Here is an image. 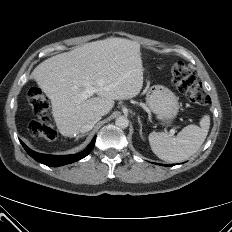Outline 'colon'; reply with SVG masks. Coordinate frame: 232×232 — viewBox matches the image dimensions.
<instances>
[{
    "label": "colon",
    "mask_w": 232,
    "mask_h": 232,
    "mask_svg": "<svg viewBox=\"0 0 232 232\" xmlns=\"http://www.w3.org/2000/svg\"><path fill=\"white\" fill-rule=\"evenodd\" d=\"M172 83L178 91L185 94L189 100L196 104L209 103V96L196 74L183 62H174L171 66ZM27 100L38 119L28 125V134L37 139L52 141L56 139V131L47 116L49 100L37 87L31 88L27 93Z\"/></svg>",
    "instance_id": "colon-1"
}]
</instances>
